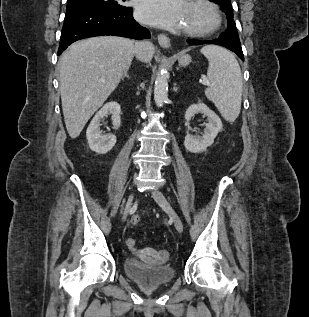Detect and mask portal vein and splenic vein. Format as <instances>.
Wrapping results in <instances>:
<instances>
[{
  "label": "portal vein and splenic vein",
  "mask_w": 309,
  "mask_h": 317,
  "mask_svg": "<svg viewBox=\"0 0 309 317\" xmlns=\"http://www.w3.org/2000/svg\"><path fill=\"white\" fill-rule=\"evenodd\" d=\"M205 84H208L209 82L207 80L204 81Z\"/></svg>",
  "instance_id": "1"
}]
</instances>
